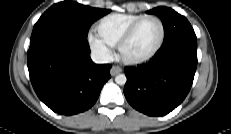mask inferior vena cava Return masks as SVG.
Returning a JSON list of instances; mask_svg holds the SVG:
<instances>
[{
	"label": "inferior vena cava",
	"instance_id": "obj_1",
	"mask_svg": "<svg viewBox=\"0 0 231 134\" xmlns=\"http://www.w3.org/2000/svg\"><path fill=\"white\" fill-rule=\"evenodd\" d=\"M91 59L93 60V62L97 64H104L110 61V57L107 54L100 51H93L91 53Z\"/></svg>",
	"mask_w": 231,
	"mask_h": 134
}]
</instances>
